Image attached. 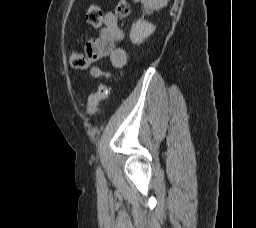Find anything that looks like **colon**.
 I'll return each mask as SVG.
<instances>
[{
	"label": "colon",
	"instance_id": "obj_1",
	"mask_svg": "<svg viewBox=\"0 0 256 228\" xmlns=\"http://www.w3.org/2000/svg\"><path fill=\"white\" fill-rule=\"evenodd\" d=\"M116 16L123 19L130 13V6L127 0H119L115 8ZM87 22L94 28H100L103 22V13L97 4H91L86 13ZM91 63V59L87 55L80 53H72L70 56V64L76 69H87ZM109 95V88L105 84H100L96 92L88 98L87 111L89 115H94L101 101L105 100Z\"/></svg>",
	"mask_w": 256,
	"mask_h": 228
}]
</instances>
